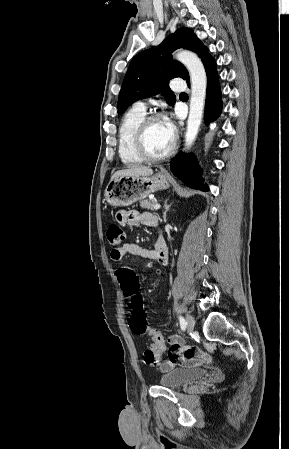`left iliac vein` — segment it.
Instances as JSON below:
<instances>
[{
  "instance_id": "obj_1",
  "label": "left iliac vein",
  "mask_w": 289,
  "mask_h": 449,
  "mask_svg": "<svg viewBox=\"0 0 289 449\" xmlns=\"http://www.w3.org/2000/svg\"><path fill=\"white\" fill-rule=\"evenodd\" d=\"M186 321H187V329H188V331L192 332L194 330V326H195L194 318L191 315H187L186 316Z\"/></svg>"
}]
</instances>
